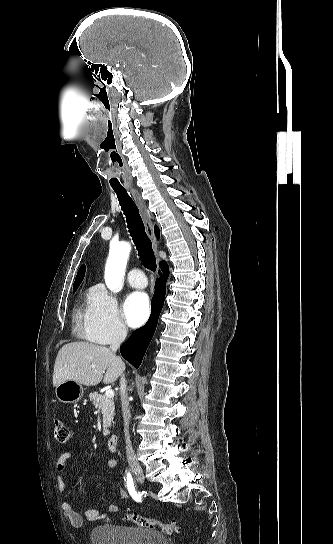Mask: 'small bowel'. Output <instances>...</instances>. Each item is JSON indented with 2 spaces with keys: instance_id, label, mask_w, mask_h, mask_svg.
I'll return each instance as SVG.
<instances>
[{
  "instance_id": "obj_1",
  "label": "small bowel",
  "mask_w": 333,
  "mask_h": 544,
  "mask_svg": "<svg viewBox=\"0 0 333 544\" xmlns=\"http://www.w3.org/2000/svg\"><path fill=\"white\" fill-rule=\"evenodd\" d=\"M72 455L68 452L63 453L59 456L57 463H56V470L58 472L57 476V485L59 492L63 498L62 501V509L64 511L65 516L70 521L71 525L75 528H80L83 525L84 520L88 521H98L103 519H109L110 515L109 513H115L119 510V505L116 503H112L109 506L108 512H102L97 509H84L81 506L73 505L70 501H68L66 497V485L63 479V472L65 471L67 463L71 460ZM118 466V462L116 459H110L107 462V467L110 469H114ZM116 486V484H114ZM119 495L122 499L129 498V494L124 489L119 490Z\"/></svg>"
}]
</instances>
